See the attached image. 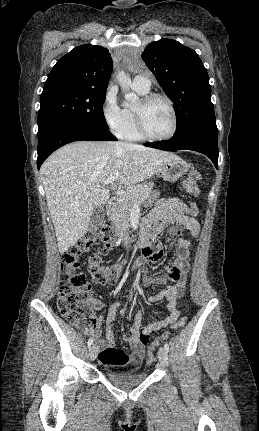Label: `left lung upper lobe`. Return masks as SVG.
<instances>
[{"label": "left lung upper lobe", "instance_id": "1", "mask_svg": "<svg viewBox=\"0 0 259 431\" xmlns=\"http://www.w3.org/2000/svg\"><path fill=\"white\" fill-rule=\"evenodd\" d=\"M142 59L175 105V134L193 127L217 129L208 73L194 50L164 38L150 43Z\"/></svg>", "mask_w": 259, "mask_h": 431}]
</instances>
